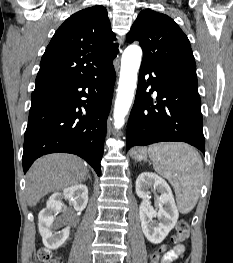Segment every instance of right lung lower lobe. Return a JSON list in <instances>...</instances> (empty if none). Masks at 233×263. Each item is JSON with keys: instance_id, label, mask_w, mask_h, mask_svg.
I'll return each instance as SVG.
<instances>
[{"instance_id": "98d812e1", "label": "right lung lower lobe", "mask_w": 233, "mask_h": 263, "mask_svg": "<svg viewBox=\"0 0 233 263\" xmlns=\"http://www.w3.org/2000/svg\"><path fill=\"white\" fill-rule=\"evenodd\" d=\"M114 81L111 62L88 78L32 92L24 136V173L42 155L67 152L82 157L101 174Z\"/></svg>"}]
</instances>
